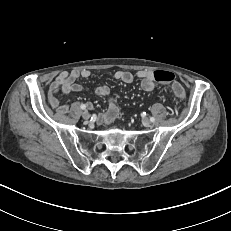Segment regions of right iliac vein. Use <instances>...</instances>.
Listing matches in <instances>:
<instances>
[{
  "label": "right iliac vein",
  "instance_id": "1",
  "mask_svg": "<svg viewBox=\"0 0 231 231\" xmlns=\"http://www.w3.org/2000/svg\"><path fill=\"white\" fill-rule=\"evenodd\" d=\"M82 117H83L85 120H88V119L90 118L89 112L85 110V111L82 113Z\"/></svg>",
  "mask_w": 231,
  "mask_h": 231
}]
</instances>
